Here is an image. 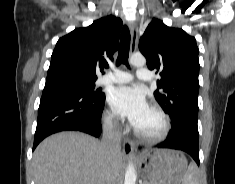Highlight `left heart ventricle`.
<instances>
[{"label": "left heart ventricle", "instance_id": "obj_1", "mask_svg": "<svg viewBox=\"0 0 235 184\" xmlns=\"http://www.w3.org/2000/svg\"><path fill=\"white\" fill-rule=\"evenodd\" d=\"M163 121L161 117L152 109L141 119L136 129L143 135H155L162 130Z\"/></svg>", "mask_w": 235, "mask_h": 184}]
</instances>
